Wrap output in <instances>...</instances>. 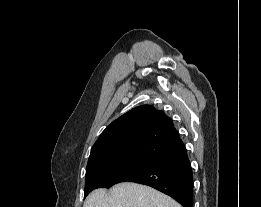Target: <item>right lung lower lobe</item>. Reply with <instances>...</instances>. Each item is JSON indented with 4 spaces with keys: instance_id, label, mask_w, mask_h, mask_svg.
<instances>
[{
    "instance_id": "obj_1",
    "label": "right lung lower lobe",
    "mask_w": 261,
    "mask_h": 207,
    "mask_svg": "<svg viewBox=\"0 0 261 207\" xmlns=\"http://www.w3.org/2000/svg\"><path fill=\"white\" fill-rule=\"evenodd\" d=\"M124 181L151 186L169 195L183 207H193V174L186 149L159 160Z\"/></svg>"
}]
</instances>
